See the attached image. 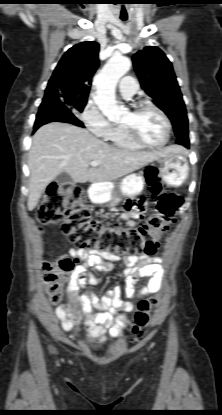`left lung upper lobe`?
<instances>
[{
	"mask_svg": "<svg viewBox=\"0 0 222 415\" xmlns=\"http://www.w3.org/2000/svg\"><path fill=\"white\" fill-rule=\"evenodd\" d=\"M132 60L142 89L169 117L176 138H188L187 112L169 59L158 47L148 46Z\"/></svg>",
	"mask_w": 222,
	"mask_h": 415,
	"instance_id": "1",
	"label": "left lung upper lobe"
}]
</instances>
